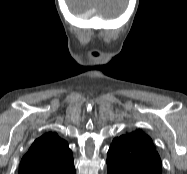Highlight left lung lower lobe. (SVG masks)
<instances>
[{
  "label": "left lung lower lobe",
  "instance_id": "0a47b994",
  "mask_svg": "<svg viewBox=\"0 0 187 174\" xmlns=\"http://www.w3.org/2000/svg\"><path fill=\"white\" fill-rule=\"evenodd\" d=\"M108 174H138V173L127 172V171H122V170H110V169H108Z\"/></svg>",
  "mask_w": 187,
  "mask_h": 174
}]
</instances>
